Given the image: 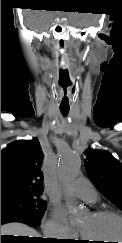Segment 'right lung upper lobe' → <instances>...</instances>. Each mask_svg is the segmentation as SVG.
I'll return each instance as SVG.
<instances>
[{
	"label": "right lung upper lobe",
	"instance_id": "1",
	"mask_svg": "<svg viewBox=\"0 0 122 243\" xmlns=\"http://www.w3.org/2000/svg\"><path fill=\"white\" fill-rule=\"evenodd\" d=\"M44 158L37 138L10 143L1 151V197L42 192Z\"/></svg>",
	"mask_w": 122,
	"mask_h": 243
}]
</instances>
